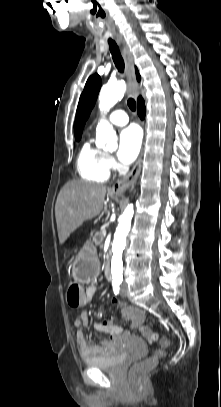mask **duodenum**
Wrapping results in <instances>:
<instances>
[{"instance_id":"duodenum-1","label":"duodenum","mask_w":221,"mask_h":407,"mask_svg":"<svg viewBox=\"0 0 221 407\" xmlns=\"http://www.w3.org/2000/svg\"><path fill=\"white\" fill-rule=\"evenodd\" d=\"M105 273H106V276H107L108 278L111 277V267H110V263H109V262H107V264H106V266H105Z\"/></svg>"}]
</instances>
